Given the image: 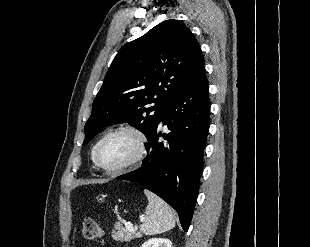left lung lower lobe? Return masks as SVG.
I'll list each match as a JSON object with an SVG mask.
<instances>
[{"instance_id":"obj_1","label":"left lung lower lobe","mask_w":310,"mask_h":247,"mask_svg":"<svg viewBox=\"0 0 310 247\" xmlns=\"http://www.w3.org/2000/svg\"><path fill=\"white\" fill-rule=\"evenodd\" d=\"M208 80L203 67L167 105L148 139L149 152L141 168L118 178L137 182L157 194L179 214L187 231L192 219L203 171V152L210 126ZM166 124L168 134L159 132ZM167 139L159 142V137Z\"/></svg>"}]
</instances>
